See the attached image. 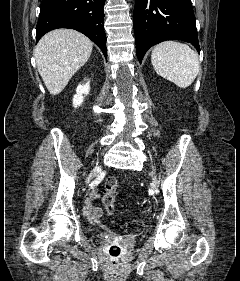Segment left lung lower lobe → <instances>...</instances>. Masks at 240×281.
Segmentation results:
<instances>
[{
    "mask_svg": "<svg viewBox=\"0 0 240 281\" xmlns=\"http://www.w3.org/2000/svg\"><path fill=\"white\" fill-rule=\"evenodd\" d=\"M133 26L140 62L151 46L171 39L189 42L200 52L191 0H136Z\"/></svg>",
    "mask_w": 240,
    "mask_h": 281,
    "instance_id": "0a47b994",
    "label": "left lung lower lobe"
}]
</instances>
